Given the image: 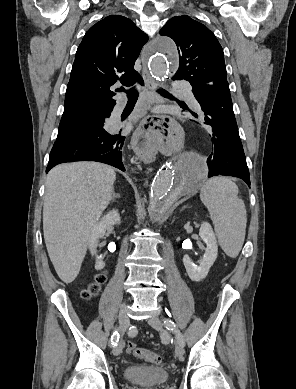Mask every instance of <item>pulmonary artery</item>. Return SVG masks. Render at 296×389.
Instances as JSON below:
<instances>
[{
    "label": "pulmonary artery",
    "mask_w": 296,
    "mask_h": 389,
    "mask_svg": "<svg viewBox=\"0 0 296 389\" xmlns=\"http://www.w3.org/2000/svg\"><path fill=\"white\" fill-rule=\"evenodd\" d=\"M177 88L179 89V91L182 93L183 97L186 99V101L190 105H192L195 108L199 107V104H198L197 100L195 99L189 86L184 85L182 83H178ZM118 112H119V108L116 109V113H118Z\"/></svg>",
    "instance_id": "e3ab8cb5"
}]
</instances>
